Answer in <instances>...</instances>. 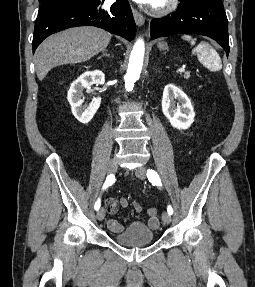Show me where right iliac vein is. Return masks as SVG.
Instances as JSON below:
<instances>
[{
	"label": "right iliac vein",
	"mask_w": 255,
	"mask_h": 287,
	"mask_svg": "<svg viewBox=\"0 0 255 287\" xmlns=\"http://www.w3.org/2000/svg\"><path fill=\"white\" fill-rule=\"evenodd\" d=\"M118 168V162L115 158L111 159L108 165V171L109 173H114L117 171ZM105 217V209L102 207L97 211V219L99 221H102Z\"/></svg>",
	"instance_id": "obj_1"
}]
</instances>
